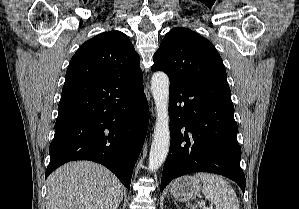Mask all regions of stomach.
<instances>
[{"instance_id":"1","label":"stomach","mask_w":299,"mask_h":209,"mask_svg":"<svg viewBox=\"0 0 299 209\" xmlns=\"http://www.w3.org/2000/svg\"><path fill=\"white\" fill-rule=\"evenodd\" d=\"M202 182L191 176H184L174 181L170 188L171 195L178 201H190L200 196Z\"/></svg>"}]
</instances>
